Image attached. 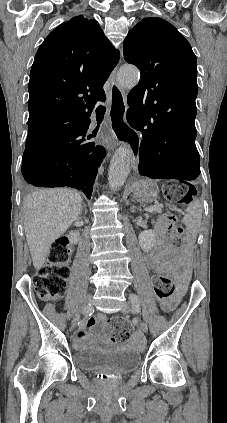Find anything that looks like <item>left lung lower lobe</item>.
<instances>
[{
	"label": "left lung lower lobe",
	"instance_id": "1",
	"mask_svg": "<svg viewBox=\"0 0 227 423\" xmlns=\"http://www.w3.org/2000/svg\"><path fill=\"white\" fill-rule=\"evenodd\" d=\"M195 115L178 112L127 110L131 127L142 132L138 169L149 178L194 180L200 174L195 146Z\"/></svg>",
	"mask_w": 227,
	"mask_h": 423
}]
</instances>
